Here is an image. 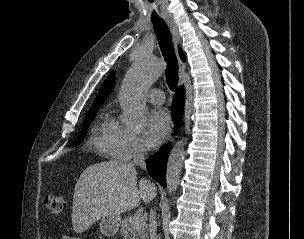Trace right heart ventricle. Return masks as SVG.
Instances as JSON below:
<instances>
[{
  "label": "right heart ventricle",
  "mask_w": 304,
  "mask_h": 239,
  "mask_svg": "<svg viewBox=\"0 0 304 239\" xmlns=\"http://www.w3.org/2000/svg\"><path fill=\"white\" fill-rule=\"evenodd\" d=\"M117 127L118 124L109 116L99 119L92 128L90 146L106 155L115 156L111 149V140Z\"/></svg>",
  "instance_id": "e07e8e85"
}]
</instances>
